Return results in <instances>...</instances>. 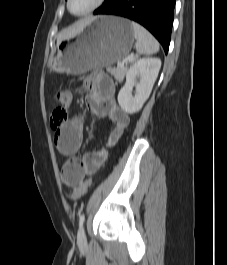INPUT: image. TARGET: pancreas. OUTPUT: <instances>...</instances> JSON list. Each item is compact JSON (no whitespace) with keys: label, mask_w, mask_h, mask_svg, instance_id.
I'll use <instances>...</instances> for the list:
<instances>
[{"label":"pancreas","mask_w":227,"mask_h":265,"mask_svg":"<svg viewBox=\"0 0 227 265\" xmlns=\"http://www.w3.org/2000/svg\"><path fill=\"white\" fill-rule=\"evenodd\" d=\"M107 71L118 81H123L124 76L127 72V66L111 68L108 67Z\"/></svg>","instance_id":"1"}]
</instances>
